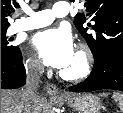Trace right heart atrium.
Returning a JSON list of instances; mask_svg holds the SVG:
<instances>
[{
    "label": "right heart atrium",
    "instance_id": "obj_1",
    "mask_svg": "<svg viewBox=\"0 0 123 113\" xmlns=\"http://www.w3.org/2000/svg\"><path fill=\"white\" fill-rule=\"evenodd\" d=\"M26 67L31 72H38L41 68V65L35 58L29 57L26 60Z\"/></svg>",
    "mask_w": 123,
    "mask_h": 113
}]
</instances>
